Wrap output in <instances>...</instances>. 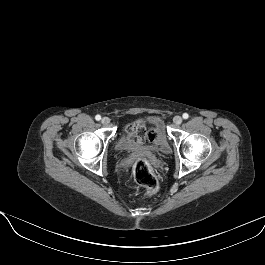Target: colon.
<instances>
[{"mask_svg": "<svg viewBox=\"0 0 265 265\" xmlns=\"http://www.w3.org/2000/svg\"><path fill=\"white\" fill-rule=\"evenodd\" d=\"M136 129L141 137L151 143H159L161 140L158 130L153 126L146 128L137 124ZM133 173L137 183L146 187L150 192H155L158 189V180L146 159L140 158L135 162Z\"/></svg>", "mask_w": 265, "mask_h": 265, "instance_id": "1", "label": "colon"}]
</instances>
